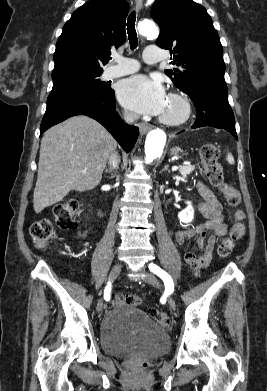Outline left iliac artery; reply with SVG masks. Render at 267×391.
Returning <instances> with one entry per match:
<instances>
[{
    "label": "left iliac artery",
    "mask_w": 267,
    "mask_h": 391,
    "mask_svg": "<svg viewBox=\"0 0 267 391\" xmlns=\"http://www.w3.org/2000/svg\"><path fill=\"white\" fill-rule=\"evenodd\" d=\"M149 269L163 280L166 287V292L172 293L174 290V284L170 275H168L164 270L153 263L149 264Z\"/></svg>",
    "instance_id": "44dca946"
}]
</instances>
